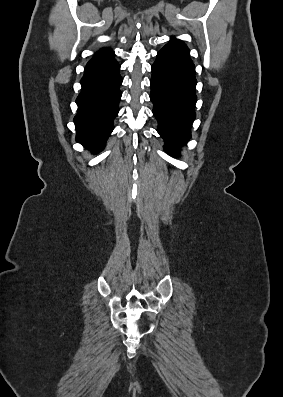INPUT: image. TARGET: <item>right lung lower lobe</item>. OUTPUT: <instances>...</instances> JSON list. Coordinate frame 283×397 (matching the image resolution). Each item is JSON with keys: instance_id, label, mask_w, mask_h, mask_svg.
<instances>
[{"instance_id": "98d812e1", "label": "right lung lower lobe", "mask_w": 283, "mask_h": 397, "mask_svg": "<svg viewBox=\"0 0 283 397\" xmlns=\"http://www.w3.org/2000/svg\"><path fill=\"white\" fill-rule=\"evenodd\" d=\"M120 64L114 59L87 65L80 83L82 91L76 99L74 117L76 141L85 148L101 151L112 133L113 121L119 112L123 78Z\"/></svg>"}]
</instances>
